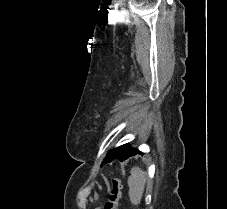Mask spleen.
Instances as JSON below:
<instances>
[{
    "instance_id": "1",
    "label": "spleen",
    "mask_w": 227,
    "mask_h": 209,
    "mask_svg": "<svg viewBox=\"0 0 227 209\" xmlns=\"http://www.w3.org/2000/svg\"><path fill=\"white\" fill-rule=\"evenodd\" d=\"M145 185L146 173L142 169H139V167H133L128 179L129 199L132 205H140Z\"/></svg>"
}]
</instances>
